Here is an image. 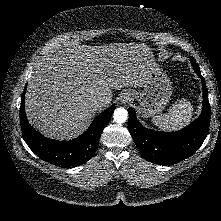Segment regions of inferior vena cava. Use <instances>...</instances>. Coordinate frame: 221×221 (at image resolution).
<instances>
[{"label": "inferior vena cava", "mask_w": 221, "mask_h": 221, "mask_svg": "<svg viewBox=\"0 0 221 221\" xmlns=\"http://www.w3.org/2000/svg\"><path fill=\"white\" fill-rule=\"evenodd\" d=\"M105 103H106L105 98H99V99H97V100L95 101V106H96L97 108H101V107H103V106L105 105Z\"/></svg>", "instance_id": "obj_1"}]
</instances>
